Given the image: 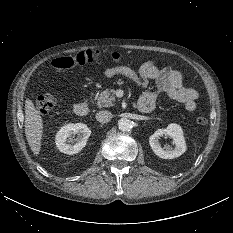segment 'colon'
Returning a JSON list of instances; mask_svg holds the SVG:
<instances>
[{"instance_id":"colon-1","label":"colon","mask_w":233,"mask_h":233,"mask_svg":"<svg viewBox=\"0 0 233 233\" xmlns=\"http://www.w3.org/2000/svg\"><path fill=\"white\" fill-rule=\"evenodd\" d=\"M99 59V54L93 51H82L75 55L64 56L56 58L52 61V66L59 70H67L76 65H84L87 63L96 62ZM112 59L118 61L120 59L119 53H113ZM57 104V97L53 93H45L38 96L36 100L37 109L41 113H47L51 111ZM196 122L200 126H205L208 123V119L204 116H199Z\"/></svg>"}]
</instances>
